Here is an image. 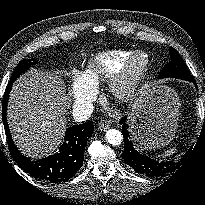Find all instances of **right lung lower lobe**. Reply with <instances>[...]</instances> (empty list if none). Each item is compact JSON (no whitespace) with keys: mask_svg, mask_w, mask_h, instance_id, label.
Instances as JSON below:
<instances>
[{"mask_svg":"<svg viewBox=\"0 0 205 205\" xmlns=\"http://www.w3.org/2000/svg\"><path fill=\"white\" fill-rule=\"evenodd\" d=\"M13 83H8L2 105V120L10 154L13 160L27 173L37 179L52 183L65 182L73 177L83 164V155L87 140L94 131L93 122L79 124L67 129L65 142L58 153L44 159L32 161L20 153L14 145L12 136L7 124L6 111L9 92Z\"/></svg>","mask_w":205,"mask_h":205,"instance_id":"right-lung-lower-lobe-1","label":"right lung lower lobe"}]
</instances>
